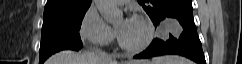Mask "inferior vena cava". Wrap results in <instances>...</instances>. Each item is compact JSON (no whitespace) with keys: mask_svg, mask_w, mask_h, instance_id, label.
I'll return each instance as SVG.
<instances>
[{"mask_svg":"<svg viewBox=\"0 0 242 64\" xmlns=\"http://www.w3.org/2000/svg\"><path fill=\"white\" fill-rule=\"evenodd\" d=\"M98 56H99V58L102 61H109V60H111L110 55L108 53L104 52V51H100Z\"/></svg>","mask_w":242,"mask_h":64,"instance_id":"602c4592","label":"inferior vena cava"}]
</instances>
